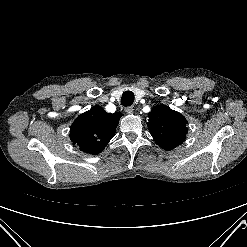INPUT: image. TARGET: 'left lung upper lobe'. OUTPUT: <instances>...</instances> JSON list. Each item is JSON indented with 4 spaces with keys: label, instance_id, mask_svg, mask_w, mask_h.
Listing matches in <instances>:
<instances>
[{
    "label": "left lung upper lobe",
    "instance_id": "left-lung-upper-lobe-1",
    "mask_svg": "<svg viewBox=\"0 0 247 247\" xmlns=\"http://www.w3.org/2000/svg\"><path fill=\"white\" fill-rule=\"evenodd\" d=\"M186 124L180 113L165 105L154 107L147 122L153 139L164 150H172L185 140Z\"/></svg>",
    "mask_w": 247,
    "mask_h": 247
}]
</instances>
